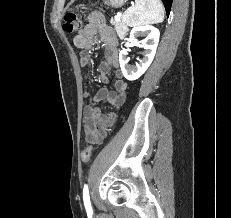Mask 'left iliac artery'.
Here are the masks:
<instances>
[{
	"instance_id": "obj_1",
	"label": "left iliac artery",
	"mask_w": 231,
	"mask_h": 218,
	"mask_svg": "<svg viewBox=\"0 0 231 218\" xmlns=\"http://www.w3.org/2000/svg\"><path fill=\"white\" fill-rule=\"evenodd\" d=\"M83 201H84V205H85L87 213H92V207H91V202H90V197H89V190H88L87 185H84Z\"/></svg>"
}]
</instances>
